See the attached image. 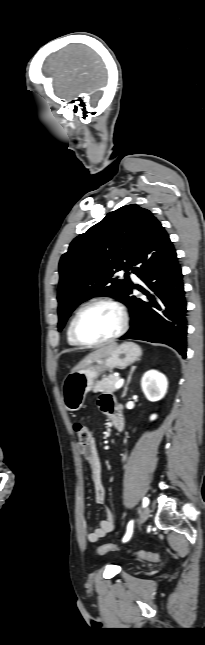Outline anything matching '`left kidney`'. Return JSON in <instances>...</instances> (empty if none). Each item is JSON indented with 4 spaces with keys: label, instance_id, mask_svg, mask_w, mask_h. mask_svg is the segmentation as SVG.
<instances>
[{
    "label": "left kidney",
    "instance_id": "left-kidney-1",
    "mask_svg": "<svg viewBox=\"0 0 205 645\" xmlns=\"http://www.w3.org/2000/svg\"><path fill=\"white\" fill-rule=\"evenodd\" d=\"M141 386L146 398L154 402L164 398L168 388V381L164 374L157 370H149L143 375ZM156 418L157 415L153 414L150 420H155Z\"/></svg>",
    "mask_w": 205,
    "mask_h": 645
}]
</instances>
